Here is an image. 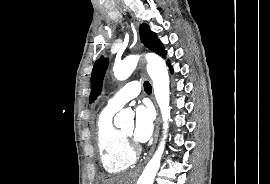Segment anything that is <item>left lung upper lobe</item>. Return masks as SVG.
<instances>
[{"label": "left lung upper lobe", "instance_id": "5c2ea615", "mask_svg": "<svg viewBox=\"0 0 270 184\" xmlns=\"http://www.w3.org/2000/svg\"><path fill=\"white\" fill-rule=\"evenodd\" d=\"M140 37L143 44L154 51L155 53L165 56L166 51L164 50V46L157 39L156 33L150 30L147 24L140 25ZM109 60L108 58H104L101 56L94 64L92 75H91V94H90V103L94 102L97 96L100 94L102 81L108 67Z\"/></svg>", "mask_w": 270, "mask_h": 184}]
</instances>
